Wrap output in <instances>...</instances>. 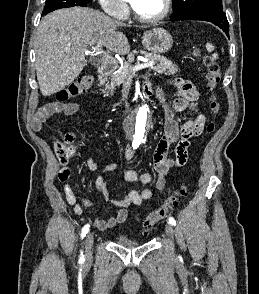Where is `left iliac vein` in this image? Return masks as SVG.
I'll use <instances>...</instances> for the list:
<instances>
[{
	"mask_svg": "<svg viewBox=\"0 0 259 294\" xmlns=\"http://www.w3.org/2000/svg\"><path fill=\"white\" fill-rule=\"evenodd\" d=\"M165 232H166V234H167V236H168L169 238H171V239L174 238V233H175V231H174V228L172 227V225H171L170 223H167V224L165 225Z\"/></svg>",
	"mask_w": 259,
	"mask_h": 294,
	"instance_id": "obj_1",
	"label": "left iliac vein"
}]
</instances>
